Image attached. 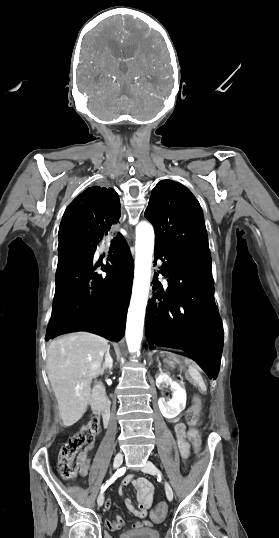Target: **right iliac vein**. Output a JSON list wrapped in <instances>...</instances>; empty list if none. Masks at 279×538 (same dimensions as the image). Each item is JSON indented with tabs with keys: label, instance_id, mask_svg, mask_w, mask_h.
I'll use <instances>...</instances> for the list:
<instances>
[{
	"label": "right iliac vein",
	"instance_id": "right-iliac-vein-1",
	"mask_svg": "<svg viewBox=\"0 0 279 538\" xmlns=\"http://www.w3.org/2000/svg\"><path fill=\"white\" fill-rule=\"evenodd\" d=\"M122 462H123V455L121 453H118L114 458L113 467L114 468L120 467ZM97 503H98V506L103 505V503H104V495L103 494H100L98 496Z\"/></svg>",
	"mask_w": 279,
	"mask_h": 538
}]
</instances>
